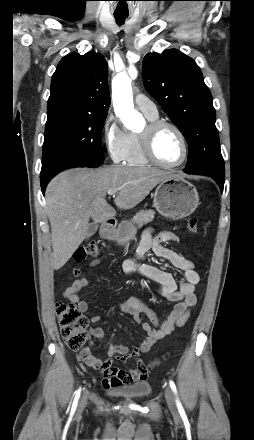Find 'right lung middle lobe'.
<instances>
[{
	"instance_id": "dd1d6c3e",
	"label": "right lung middle lobe",
	"mask_w": 254,
	"mask_h": 440,
	"mask_svg": "<svg viewBox=\"0 0 254 440\" xmlns=\"http://www.w3.org/2000/svg\"><path fill=\"white\" fill-rule=\"evenodd\" d=\"M47 116L41 181H49L68 168L98 167L103 163L101 131L106 114L58 108Z\"/></svg>"
}]
</instances>
